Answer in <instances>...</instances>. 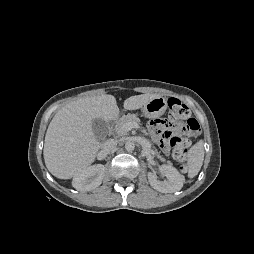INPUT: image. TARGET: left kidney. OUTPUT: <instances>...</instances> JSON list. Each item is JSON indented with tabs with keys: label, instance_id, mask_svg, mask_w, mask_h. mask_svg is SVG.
<instances>
[{
	"label": "left kidney",
	"instance_id": "obj_1",
	"mask_svg": "<svg viewBox=\"0 0 254 254\" xmlns=\"http://www.w3.org/2000/svg\"><path fill=\"white\" fill-rule=\"evenodd\" d=\"M161 170L168 181H159L154 173H148L149 183L154 189L162 193H173L183 187V178L176 168L164 164Z\"/></svg>",
	"mask_w": 254,
	"mask_h": 254
}]
</instances>
